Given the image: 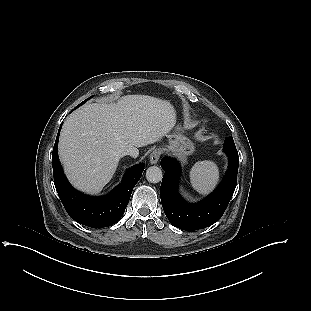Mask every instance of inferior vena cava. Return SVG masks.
I'll return each instance as SVG.
<instances>
[{"instance_id": "inferior-vena-cava-1", "label": "inferior vena cava", "mask_w": 311, "mask_h": 311, "mask_svg": "<svg viewBox=\"0 0 311 311\" xmlns=\"http://www.w3.org/2000/svg\"><path fill=\"white\" fill-rule=\"evenodd\" d=\"M138 152V149L134 145H130L124 149V155L126 156H134Z\"/></svg>"}]
</instances>
